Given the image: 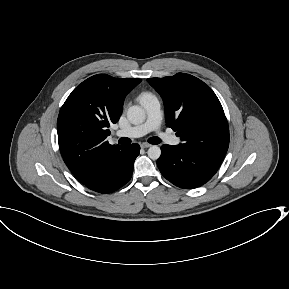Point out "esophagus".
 <instances>
[{
  "label": "esophagus",
  "instance_id": "1",
  "mask_svg": "<svg viewBox=\"0 0 289 289\" xmlns=\"http://www.w3.org/2000/svg\"><path fill=\"white\" fill-rule=\"evenodd\" d=\"M151 145L150 144H148V143H142L141 144V147L142 148H149Z\"/></svg>",
  "mask_w": 289,
  "mask_h": 289
}]
</instances>
